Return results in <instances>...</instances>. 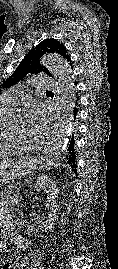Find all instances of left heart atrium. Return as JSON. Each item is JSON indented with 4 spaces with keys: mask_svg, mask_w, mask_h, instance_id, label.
<instances>
[{
    "mask_svg": "<svg viewBox=\"0 0 118 269\" xmlns=\"http://www.w3.org/2000/svg\"><path fill=\"white\" fill-rule=\"evenodd\" d=\"M24 120L26 133L33 139H40L49 131L50 112L41 102L33 101L27 104Z\"/></svg>",
    "mask_w": 118,
    "mask_h": 269,
    "instance_id": "left-heart-atrium-1",
    "label": "left heart atrium"
}]
</instances>
